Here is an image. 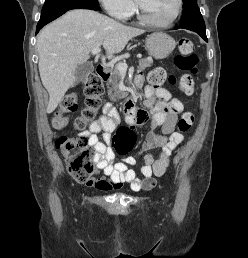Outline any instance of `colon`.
Masks as SVG:
<instances>
[{"mask_svg": "<svg viewBox=\"0 0 248 258\" xmlns=\"http://www.w3.org/2000/svg\"><path fill=\"white\" fill-rule=\"evenodd\" d=\"M179 54L175 58V65L178 69L187 71L178 81L180 91L187 96L194 93V79L192 75L198 72V58L193 53L194 43L189 38H181L178 42ZM148 82L152 86H161L167 79V73L161 68L151 70L147 76ZM86 97L85 108L76 118L74 126L77 130H84L87 123L94 119L97 110L101 105V95L103 92V82L99 75H88L82 87ZM77 94L66 95L60 102L59 109L52 118V125L56 129L65 127L67 123L66 114L75 110L77 106ZM195 116L192 112H185L178 122V130L187 132L193 125ZM134 133L127 127H120L114 136V145L120 155H126L132 148ZM56 146L66 159L69 174L78 182L87 183L94 180V166L92 157L94 155L93 146L85 136L80 138H70L59 136L56 139Z\"/></svg>", "mask_w": 248, "mask_h": 258, "instance_id": "1", "label": "colon"}]
</instances>
